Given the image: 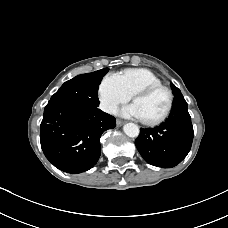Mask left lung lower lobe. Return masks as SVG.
<instances>
[{
	"label": "left lung lower lobe",
	"mask_w": 228,
	"mask_h": 228,
	"mask_svg": "<svg viewBox=\"0 0 228 228\" xmlns=\"http://www.w3.org/2000/svg\"><path fill=\"white\" fill-rule=\"evenodd\" d=\"M192 141L193 126L187 110V102L179 93L174 97L168 119L158 127L141 128L135 144L147 163L170 168L187 156Z\"/></svg>",
	"instance_id": "1"
}]
</instances>
